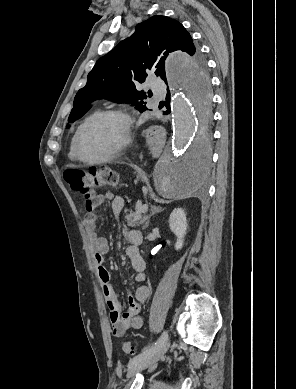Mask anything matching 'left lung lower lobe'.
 I'll return each instance as SVG.
<instances>
[{
    "label": "left lung lower lobe",
    "mask_w": 296,
    "mask_h": 389,
    "mask_svg": "<svg viewBox=\"0 0 296 389\" xmlns=\"http://www.w3.org/2000/svg\"><path fill=\"white\" fill-rule=\"evenodd\" d=\"M192 88H193L194 92H198V91H201L202 93L205 92V91L201 90L196 85H192ZM167 90H168V93L166 95V103H165V106L167 107V111H165L164 114L170 113V91H169V89H167ZM202 145L203 144L201 142H199L198 146L196 147V150L193 152L191 157L180 168L179 178H183L188 182V180H187L188 178L185 177V173L190 172L193 175L194 173H196L198 170H200L201 167H203L207 163L208 158L206 155V151H202V147H201ZM190 177L191 176H189V178ZM189 185H191V184H189ZM192 187H193V185H191V188Z\"/></svg>",
    "instance_id": "left-lung-lower-lobe-1"
}]
</instances>
